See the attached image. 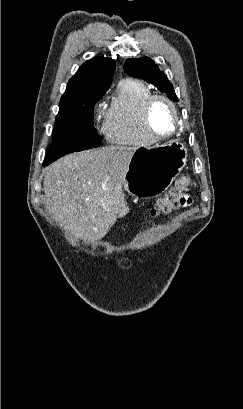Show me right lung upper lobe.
I'll return each instance as SVG.
<instances>
[{
  "label": "right lung upper lobe",
  "instance_id": "cb5924a9",
  "mask_svg": "<svg viewBox=\"0 0 243 409\" xmlns=\"http://www.w3.org/2000/svg\"><path fill=\"white\" fill-rule=\"evenodd\" d=\"M116 63L111 58L93 57L83 63L69 80L61 106H85L98 101L109 89Z\"/></svg>",
  "mask_w": 243,
  "mask_h": 409
}]
</instances>
